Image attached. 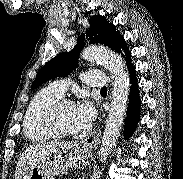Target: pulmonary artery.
<instances>
[{
  "label": "pulmonary artery",
  "instance_id": "e3ab8cb5",
  "mask_svg": "<svg viewBox=\"0 0 183 179\" xmlns=\"http://www.w3.org/2000/svg\"><path fill=\"white\" fill-rule=\"evenodd\" d=\"M83 81L89 86L92 87H104L106 85V77L103 73L97 70H92L83 73ZM70 82L67 79H61L54 81L50 84V88L58 93L60 96H64Z\"/></svg>",
  "mask_w": 183,
  "mask_h": 179
}]
</instances>
